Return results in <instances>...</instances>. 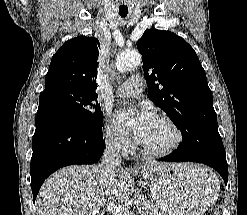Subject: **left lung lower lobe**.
<instances>
[{"label":"left lung lower lobe","instance_id":"left-lung-lower-lobe-1","mask_svg":"<svg viewBox=\"0 0 247 215\" xmlns=\"http://www.w3.org/2000/svg\"><path fill=\"white\" fill-rule=\"evenodd\" d=\"M160 161L203 163L214 168L227 184V161L218 130L190 134L186 142Z\"/></svg>","mask_w":247,"mask_h":215}]
</instances>
